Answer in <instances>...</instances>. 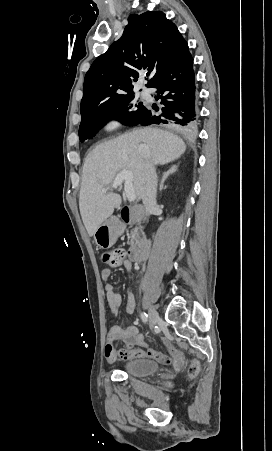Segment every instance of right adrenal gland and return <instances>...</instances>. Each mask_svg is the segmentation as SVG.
Here are the masks:
<instances>
[{
    "label": "right adrenal gland",
    "mask_w": 272,
    "mask_h": 451,
    "mask_svg": "<svg viewBox=\"0 0 272 451\" xmlns=\"http://www.w3.org/2000/svg\"><path fill=\"white\" fill-rule=\"evenodd\" d=\"M176 170H177V166H172V168H170V170H168V172H164L163 178L159 184V192H161V190H163L164 182H165V180H167L168 176H170V174H174V172H176Z\"/></svg>",
    "instance_id": "obj_1"
}]
</instances>
